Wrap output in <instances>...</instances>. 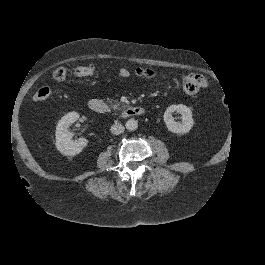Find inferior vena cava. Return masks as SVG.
<instances>
[{"instance_id": "1", "label": "inferior vena cava", "mask_w": 265, "mask_h": 265, "mask_svg": "<svg viewBox=\"0 0 265 265\" xmlns=\"http://www.w3.org/2000/svg\"><path fill=\"white\" fill-rule=\"evenodd\" d=\"M124 126L120 123H115L111 127V132L115 135H119L124 132Z\"/></svg>"}]
</instances>
